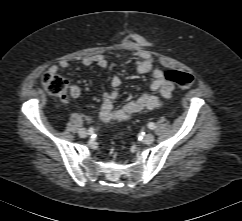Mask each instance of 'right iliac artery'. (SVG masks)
<instances>
[{"mask_svg":"<svg viewBox=\"0 0 242 221\" xmlns=\"http://www.w3.org/2000/svg\"><path fill=\"white\" fill-rule=\"evenodd\" d=\"M88 131L90 132V134H92L94 129L92 127H90Z\"/></svg>","mask_w":242,"mask_h":221,"instance_id":"obj_1","label":"right iliac artery"}]
</instances>
